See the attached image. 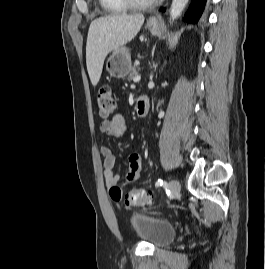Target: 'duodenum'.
<instances>
[{"label":"duodenum","instance_id":"duodenum-1","mask_svg":"<svg viewBox=\"0 0 265 269\" xmlns=\"http://www.w3.org/2000/svg\"><path fill=\"white\" fill-rule=\"evenodd\" d=\"M150 103L147 96H139L136 103V113L139 117H144L149 111Z\"/></svg>","mask_w":265,"mask_h":269}]
</instances>
